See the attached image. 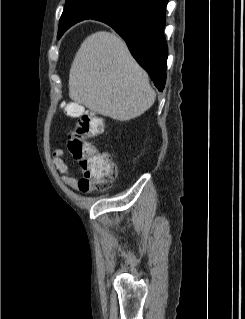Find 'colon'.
Listing matches in <instances>:
<instances>
[{
  "label": "colon",
  "instance_id": "obj_1",
  "mask_svg": "<svg viewBox=\"0 0 245 319\" xmlns=\"http://www.w3.org/2000/svg\"><path fill=\"white\" fill-rule=\"evenodd\" d=\"M66 112L77 118L74 129L68 135L67 149L82 172L79 189L83 192L109 190L116 179L117 168L107 154L98 151L89 142L104 132L103 119L83 113L77 103L67 104Z\"/></svg>",
  "mask_w": 245,
  "mask_h": 319
}]
</instances>
